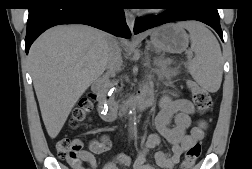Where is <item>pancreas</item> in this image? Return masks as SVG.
<instances>
[{
  "instance_id": "obj_1",
  "label": "pancreas",
  "mask_w": 252,
  "mask_h": 169,
  "mask_svg": "<svg viewBox=\"0 0 252 169\" xmlns=\"http://www.w3.org/2000/svg\"><path fill=\"white\" fill-rule=\"evenodd\" d=\"M157 66H158L157 73L159 75L170 77V76H174V75L177 74V70L175 68H171L169 66V62L168 61L159 60L157 62Z\"/></svg>"
}]
</instances>
